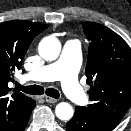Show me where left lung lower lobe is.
Returning a JSON list of instances; mask_svg holds the SVG:
<instances>
[{"instance_id":"left-lung-lower-lobe-1","label":"left lung lower lobe","mask_w":131,"mask_h":131,"mask_svg":"<svg viewBox=\"0 0 131 131\" xmlns=\"http://www.w3.org/2000/svg\"><path fill=\"white\" fill-rule=\"evenodd\" d=\"M68 131H110L92 114L77 106L73 118L66 124Z\"/></svg>"}]
</instances>
